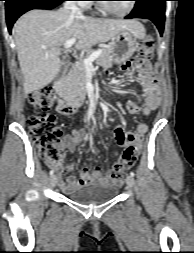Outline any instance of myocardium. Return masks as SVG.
<instances>
[{
    "mask_svg": "<svg viewBox=\"0 0 194 253\" xmlns=\"http://www.w3.org/2000/svg\"><path fill=\"white\" fill-rule=\"evenodd\" d=\"M130 4L128 6L127 9H125L124 11H115L113 9H111L109 6H107L105 3H100L99 7L106 13L113 15L115 17H126L128 16L134 9L135 7V1L134 0H130L129 1Z\"/></svg>",
    "mask_w": 194,
    "mask_h": 253,
    "instance_id": "myocardium-1",
    "label": "myocardium"
}]
</instances>
